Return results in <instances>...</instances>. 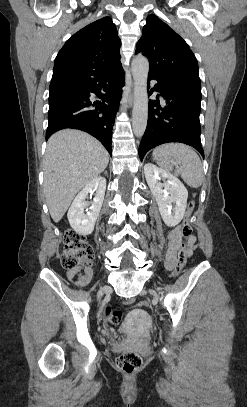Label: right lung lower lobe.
<instances>
[{"label": "right lung lower lobe", "mask_w": 247, "mask_h": 407, "mask_svg": "<svg viewBox=\"0 0 247 407\" xmlns=\"http://www.w3.org/2000/svg\"><path fill=\"white\" fill-rule=\"evenodd\" d=\"M123 85L124 71L122 66H118L91 78L81 87L80 93L49 101L46 140L58 130L79 129L97 138L111 155L112 129ZM90 92L98 95L102 102L92 104L89 100ZM92 105L95 109H89Z\"/></svg>", "instance_id": "obj_1"}]
</instances>
